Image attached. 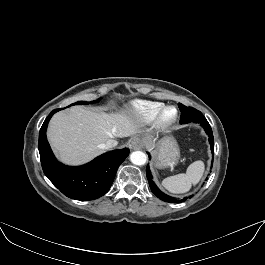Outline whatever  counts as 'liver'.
I'll list each match as a JSON object with an SVG mask.
<instances>
[{
  "mask_svg": "<svg viewBox=\"0 0 265 265\" xmlns=\"http://www.w3.org/2000/svg\"><path fill=\"white\" fill-rule=\"evenodd\" d=\"M138 131L136 122L125 113H98L76 106L52 117L47 137L62 162L78 165L100 155L104 151L102 144L109 139Z\"/></svg>",
  "mask_w": 265,
  "mask_h": 265,
  "instance_id": "liver-1",
  "label": "liver"
}]
</instances>
